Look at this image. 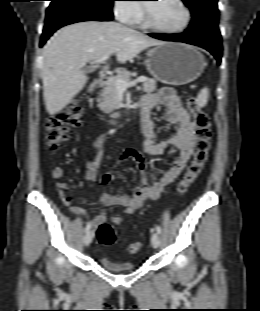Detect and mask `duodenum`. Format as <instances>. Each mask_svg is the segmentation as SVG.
Returning <instances> with one entry per match:
<instances>
[{"instance_id":"duodenum-1","label":"duodenum","mask_w":260,"mask_h":311,"mask_svg":"<svg viewBox=\"0 0 260 311\" xmlns=\"http://www.w3.org/2000/svg\"><path fill=\"white\" fill-rule=\"evenodd\" d=\"M108 80V76L105 74V73H100L97 77H96V80H95V84L96 86H101L103 85L104 83H106V81ZM126 112H122L116 116H113L111 119H110V122L112 123H116L118 121H121L125 116H126Z\"/></svg>"}]
</instances>
